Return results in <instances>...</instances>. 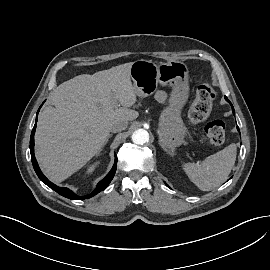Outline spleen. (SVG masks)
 <instances>
[{"instance_id":"obj_1","label":"spleen","mask_w":270,"mask_h":270,"mask_svg":"<svg viewBox=\"0 0 270 270\" xmlns=\"http://www.w3.org/2000/svg\"><path fill=\"white\" fill-rule=\"evenodd\" d=\"M237 148L234 143L208 156L202 163H185L183 169L189 179L202 191L219 187L229 176L235 161Z\"/></svg>"}]
</instances>
